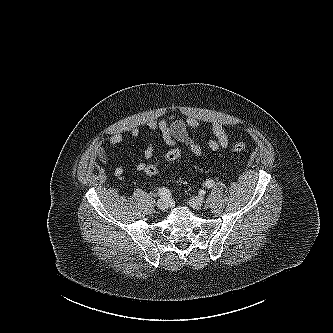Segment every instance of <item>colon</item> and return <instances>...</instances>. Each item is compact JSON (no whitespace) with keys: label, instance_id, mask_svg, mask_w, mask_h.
I'll list each match as a JSON object with an SVG mask.
<instances>
[{"label":"colon","instance_id":"colon-1","mask_svg":"<svg viewBox=\"0 0 333 333\" xmlns=\"http://www.w3.org/2000/svg\"><path fill=\"white\" fill-rule=\"evenodd\" d=\"M247 149V145L243 142L235 143L231 146V152H242ZM181 157V151L177 148L169 149L165 154V159L168 161H175ZM159 167L155 164H146L144 173L147 176H155L159 173Z\"/></svg>","mask_w":333,"mask_h":333}]
</instances>
